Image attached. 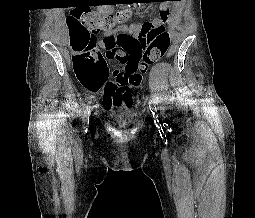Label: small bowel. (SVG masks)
I'll return each instance as SVG.
<instances>
[{
    "label": "small bowel",
    "instance_id": "small-bowel-1",
    "mask_svg": "<svg viewBox=\"0 0 255 218\" xmlns=\"http://www.w3.org/2000/svg\"><path fill=\"white\" fill-rule=\"evenodd\" d=\"M162 11H166V12H167V15H168V6L165 5V4H163V5H161V6L159 7V11H158V12H159V18H153V22H154V23H160V22L163 21V20L161 19V17H160V13H161ZM139 29H140V26H138V25H132V26L127 27V28H122L121 30L124 31V32H126V33H128V34H135ZM114 34H115L114 31H107V32H104L102 38H100L99 41H98V45H99L101 48L106 49V48H107V41H108L109 39L113 38V37H114ZM121 63H124V62H121ZM145 68H146V67H145ZM145 68H144V69H145ZM144 69H143V70H144ZM121 97L123 98V94L121 95ZM112 100H113V96H111V97L109 98V100L106 102V98H105V96H104V98H103V105H104V107H105L106 109H109V108H110V107H109V104H110V102H111ZM130 106H131V105H129V106H127V107H130Z\"/></svg>",
    "mask_w": 255,
    "mask_h": 218
}]
</instances>
